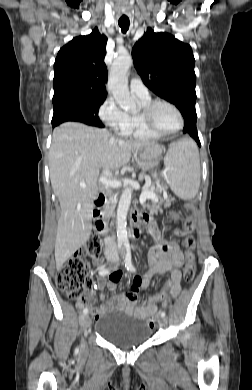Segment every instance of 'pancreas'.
I'll return each mask as SVG.
<instances>
[{
  "mask_svg": "<svg viewBox=\"0 0 252 390\" xmlns=\"http://www.w3.org/2000/svg\"><path fill=\"white\" fill-rule=\"evenodd\" d=\"M173 199H170L168 197L162 198L161 202H152L151 205H147L149 207L148 212L152 217H157L158 213L161 210V206L164 205L166 208L171 205V202Z\"/></svg>",
  "mask_w": 252,
  "mask_h": 390,
  "instance_id": "obj_1",
  "label": "pancreas"
}]
</instances>
